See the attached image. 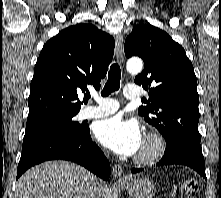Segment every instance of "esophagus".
Listing matches in <instances>:
<instances>
[{"label": "esophagus", "mask_w": 221, "mask_h": 198, "mask_svg": "<svg viewBox=\"0 0 221 198\" xmlns=\"http://www.w3.org/2000/svg\"><path fill=\"white\" fill-rule=\"evenodd\" d=\"M116 41V53L117 58L121 64L124 66V55H123V37L119 33L116 35L115 38ZM123 174V169L119 164H115L112 169V175L115 179H121Z\"/></svg>", "instance_id": "obj_1"}]
</instances>
